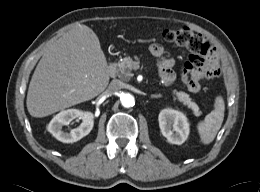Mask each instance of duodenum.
Returning a JSON list of instances; mask_svg holds the SVG:
<instances>
[{
    "label": "duodenum",
    "mask_w": 260,
    "mask_h": 192,
    "mask_svg": "<svg viewBox=\"0 0 260 192\" xmlns=\"http://www.w3.org/2000/svg\"><path fill=\"white\" fill-rule=\"evenodd\" d=\"M116 72V66L114 63H110L108 66V73L109 75L113 76Z\"/></svg>",
    "instance_id": "410a0bca"
}]
</instances>
